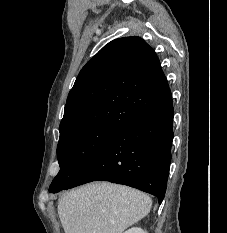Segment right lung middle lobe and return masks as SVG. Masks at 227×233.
Here are the masks:
<instances>
[{
	"label": "right lung middle lobe",
	"instance_id": "obj_1",
	"mask_svg": "<svg viewBox=\"0 0 227 233\" xmlns=\"http://www.w3.org/2000/svg\"><path fill=\"white\" fill-rule=\"evenodd\" d=\"M116 132L91 127L60 134L57 146L60 171L51 183L49 192H59L70 184Z\"/></svg>",
	"mask_w": 227,
	"mask_h": 233
}]
</instances>
